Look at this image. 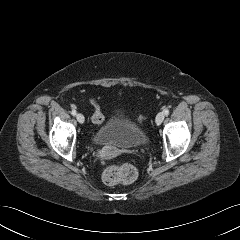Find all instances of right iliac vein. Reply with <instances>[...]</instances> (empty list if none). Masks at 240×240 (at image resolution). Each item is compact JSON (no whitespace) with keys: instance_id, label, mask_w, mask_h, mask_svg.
Returning a JSON list of instances; mask_svg holds the SVG:
<instances>
[{"instance_id":"63e3f726","label":"right iliac vein","mask_w":240,"mask_h":240,"mask_svg":"<svg viewBox=\"0 0 240 240\" xmlns=\"http://www.w3.org/2000/svg\"><path fill=\"white\" fill-rule=\"evenodd\" d=\"M76 119H77V121H78L80 124H83L84 121H85V118H84V116H83L81 113H78V114L76 115Z\"/></svg>"}]
</instances>
